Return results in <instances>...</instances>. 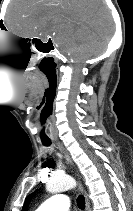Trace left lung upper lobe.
Returning <instances> with one entry per match:
<instances>
[{
	"instance_id": "1",
	"label": "left lung upper lobe",
	"mask_w": 133,
	"mask_h": 211,
	"mask_svg": "<svg viewBox=\"0 0 133 211\" xmlns=\"http://www.w3.org/2000/svg\"><path fill=\"white\" fill-rule=\"evenodd\" d=\"M31 198H32V194L29 195L28 198L26 199L22 211H26V209H27V207H28V204H29Z\"/></svg>"
}]
</instances>
